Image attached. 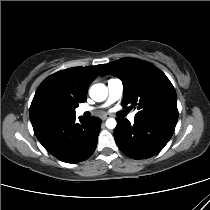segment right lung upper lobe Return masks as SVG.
<instances>
[{"instance_id":"obj_1","label":"right lung upper lobe","mask_w":210,"mask_h":210,"mask_svg":"<svg viewBox=\"0 0 210 210\" xmlns=\"http://www.w3.org/2000/svg\"><path fill=\"white\" fill-rule=\"evenodd\" d=\"M102 67L103 65L74 67L48 76L36 90L29 110L30 120L51 101L66 102L75 108L79 103L85 102L87 90Z\"/></svg>"}]
</instances>
